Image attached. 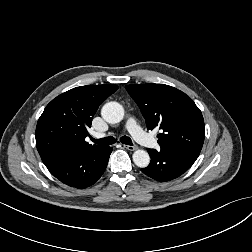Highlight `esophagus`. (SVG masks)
<instances>
[{
	"instance_id": "esophagus-1",
	"label": "esophagus",
	"mask_w": 252,
	"mask_h": 252,
	"mask_svg": "<svg viewBox=\"0 0 252 252\" xmlns=\"http://www.w3.org/2000/svg\"><path fill=\"white\" fill-rule=\"evenodd\" d=\"M123 147L130 151H134L138 148L136 145L132 146V145H126V144H124Z\"/></svg>"
}]
</instances>
